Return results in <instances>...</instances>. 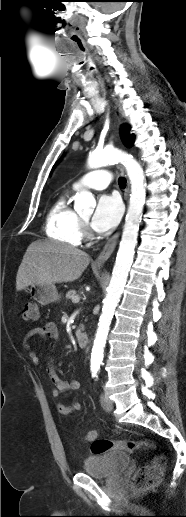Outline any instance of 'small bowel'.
Segmentation results:
<instances>
[{"mask_svg":"<svg viewBox=\"0 0 186 517\" xmlns=\"http://www.w3.org/2000/svg\"><path fill=\"white\" fill-rule=\"evenodd\" d=\"M59 337V331L54 322H47L43 326L36 327L30 330L26 336L25 346L29 350L30 358L37 363L38 358L36 354L30 350V345L33 341L37 339H51L53 341H57ZM49 379L53 385L52 395L54 398L58 399L62 393L70 390H78L81 387V382L77 379H73L71 381L64 380L60 378L56 371L54 359H51L47 368ZM82 409V403L79 401H73L70 405H66L63 403H58L57 410L63 416H70L77 411ZM97 437L96 431H89L85 437V442H90V435Z\"/></svg>","mask_w":186,"mask_h":517,"instance_id":"1","label":"small bowel"}]
</instances>
